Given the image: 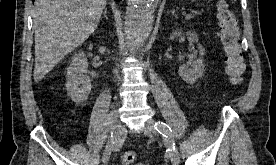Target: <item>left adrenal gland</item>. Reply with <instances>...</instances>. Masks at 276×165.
Here are the masks:
<instances>
[{
	"label": "left adrenal gland",
	"instance_id": "a2214340",
	"mask_svg": "<svg viewBox=\"0 0 276 165\" xmlns=\"http://www.w3.org/2000/svg\"><path fill=\"white\" fill-rule=\"evenodd\" d=\"M171 13H172V15H173L174 17H177L176 14H175V10H174V9L171 11Z\"/></svg>",
	"mask_w": 276,
	"mask_h": 165
}]
</instances>
